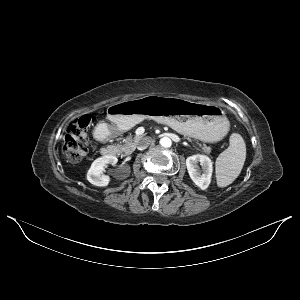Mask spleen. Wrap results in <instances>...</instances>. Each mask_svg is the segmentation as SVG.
Returning a JSON list of instances; mask_svg holds the SVG:
<instances>
[{
	"instance_id": "1",
	"label": "spleen",
	"mask_w": 300,
	"mask_h": 300,
	"mask_svg": "<svg viewBox=\"0 0 300 300\" xmlns=\"http://www.w3.org/2000/svg\"><path fill=\"white\" fill-rule=\"evenodd\" d=\"M246 159V145L240 134L230 136V145L216 159V181L218 187H227L241 173Z\"/></svg>"
}]
</instances>
